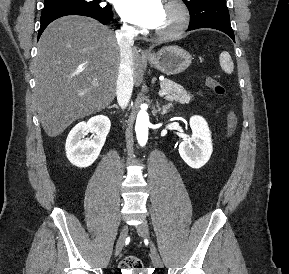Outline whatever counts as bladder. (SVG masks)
Returning <instances> with one entry per match:
<instances>
[{"label": "bladder", "instance_id": "1", "mask_svg": "<svg viewBox=\"0 0 289 274\" xmlns=\"http://www.w3.org/2000/svg\"><path fill=\"white\" fill-rule=\"evenodd\" d=\"M122 274H141L139 271H127L125 273Z\"/></svg>", "mask_w": 289, "mask_h": 274}]
</instances>
